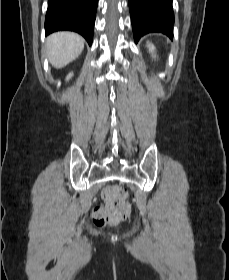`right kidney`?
Returning <instances> with one entry per match:
<instances>
[{
    "instance_id": "1",
    "label": "right kidney",
    "mask_w": 229,
    "mask_h": 280,
    "mask_svg": "<svg viewBox=\"0 0 229 280\" xmlns=\"http://www.w3.org/2000/svg\"><path fill=\"white\" fill-rule=\"evenodd\" d=\"M73 73H69L66 77V80H69L72 77Z\"/></svg>"
}]
</instances>
